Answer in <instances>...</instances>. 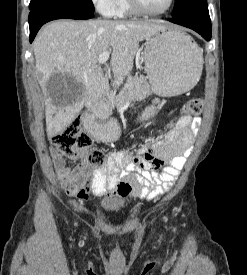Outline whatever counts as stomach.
I'll list each match as a JSON object with an SVG mask.
<instances>
[{
  "label": "stomach",
  "instance_id": "0dacf381",
  "mask_svg": "<svg viewBox=\"0 0 247 275\" xmlns=\"http://www.w3.org/2000/svg\"><path fill=\"white\" fill-rule=\"evenodd\" d=\"M145 71L151 90L163 97L177 96L192 89L202 72V53L189 36L174 29L161 30L149 37L144 50ZM152 110L143 118L148 119ZM97 135L105 141L118 138L110 125L97 126Z\"/></svg>",
  "mask_w": 247,
  "mask_h": 275
}]
</instances>
